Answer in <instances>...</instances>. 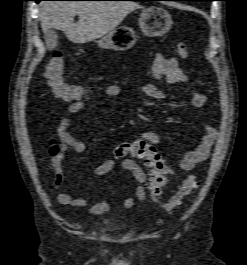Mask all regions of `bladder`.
Here are the masks:
<instances>
[{"label": "bladder", "instance_id": "31cf9c89", "mask_svg": "<svg viewBox=\"0 0 247 265\" xmlns=\"http://www.w3.org/2000/svg\"><path fill=\"white\" fill-rule=\"evenodd\" d=\"M107 226H108V227H112V226H113V223H112V222H109V223L107 224Z\"/></svg>", "mask_w": 247, "mask_h": 265}]
</instances>
